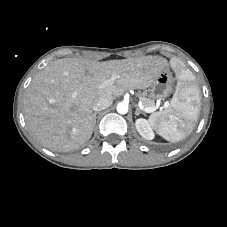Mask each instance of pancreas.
<instances>
[{
    "instance_id": "cf45deb5",
    "label": "pancreas",
    "mask_w": 227,
    "mask_h": 227,
    "mask_svg": "<svg viewBox=\"0 0 227 227\" xmlns=\"http://www.w3.org/2000/svg\"><path fill=\"white\" fill-rule=\"evenodd\" d=\"M139 97L144 108H151L155 106L154 100L147 98L143 93H139Z\"/></svg>"
}]
</instances>
